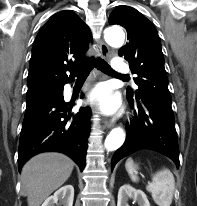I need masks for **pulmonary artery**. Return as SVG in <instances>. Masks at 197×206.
<instances>
[{
    "label": "pulmonary artery",
    "mask_w": 197,
    "mask_h": 206,
    "mask_svg": "<svg viewBox=\"0 0 197 206\" xmlns=\"http://www.w3.org/2000/svg\"><path fill=\"white\" fill-rule=\"evenodd\" d=\"M113 68L116 72H124L127 70V64L121 58H115Z\"/></svg>",
    "instance_id": "pulmonary-artery-1"
}]
</instances>
